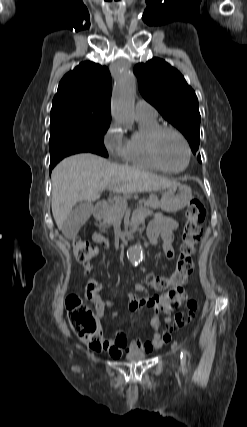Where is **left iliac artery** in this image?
I'll return each mask as SVG.
<instances>
[{
	"instance_id": "44dca946",
	"label": "left iliac artery",
	"mask_w": 247,
	"mask_h": 427,
	"mask_svg": "<svg viewBox=\"0 0 247 427\" xmlns=\"http://www.w3.org/2000/svg\"><path fill=\"white\" fill-rule=\"evenodd\" d=\"M181 364L182 366H184L186 364V351L185 349L181 350Z\"/></svg>"
}]
</instances>
